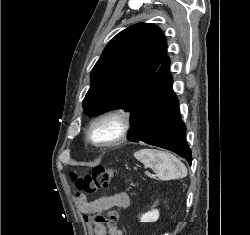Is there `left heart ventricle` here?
<instances>
[{
    "mask_svg": "<svg viewBox=\"0 0 250 235\" xmlns=\"http://www.w3.org/2000/svg\"><path fill=\"white\" fill-rule=\"evenodd\" d=\"M116 128L112 123L101 124L94 132V136L98 139H108L114 136Z\"/></svg>",
    "mask_w": 250,
    "mask_h": 235,
    "instance_id": "1",
    "label": "left heart ventricle"
}]
</instances>
